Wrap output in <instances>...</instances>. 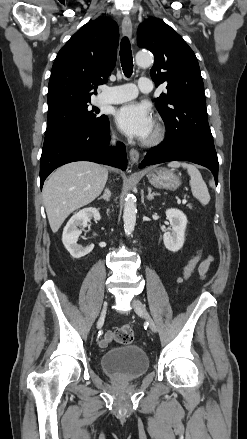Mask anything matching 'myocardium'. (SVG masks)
<instances>
[{"instance_id": "obj_1", "label": "myocardium", "mask_w": 247, "mask_h": 439, "mask_svg": "<svg viewBox=\"0 0 247 439\" xmlns=\"http://www.w3.org/2000/svg\"><path fill=\"white\" fill-rule=\"evenodd\" d=\"M165 128L160 122H156L150 137L144 142L145 145L152 146L162 142L165 138Z\"/></svg>"}]
</instances>
